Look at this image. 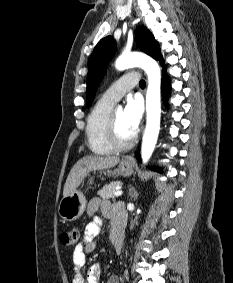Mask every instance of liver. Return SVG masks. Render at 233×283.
<instances>
[{
	"label": "liver",
	"mask_w": 233,
	"mask_h": 283,
	"mask_svg": "<svg viewBox=\"0 0 233 283\" xmlns=\"http://www.w3.org/2000/svg\"><path fill=\"white\" fill-rule=\"evenodd\" d=\"M119 161L120 158L117 156H84L70 170L64 185L63 197L73 193L90 171L114 167Z\"/></svg>",
	"instance_id": "1"
}]
</instances>
